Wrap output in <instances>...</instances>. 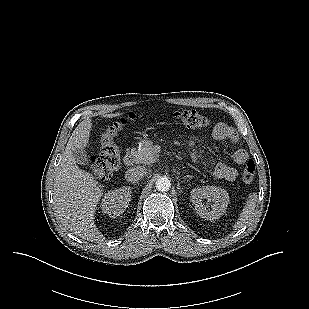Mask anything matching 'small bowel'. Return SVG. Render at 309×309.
<instances>
[{"mask_svg":"<svg viewBox=\"0 0 309 309\" xmlns=\"http://www.w3.org/2000/svg\"><path fill=\"white\" fill-rule=\"evenodd\" d=\"M213 138L219 142H224L230 140L235 142L237 140V135L235 131L225 123H217L212 131ZM249 159V155L246 150L238 149L233 154V161L237 165H244ZM237 170L223 163L217 164L212 172L214 178L219 180L233 181L237 177Z\"/></svg>","mask_w":309,"mask_h":309,"instance_id":"small-bowel-1","label":"small bowel"}]
</instances>
